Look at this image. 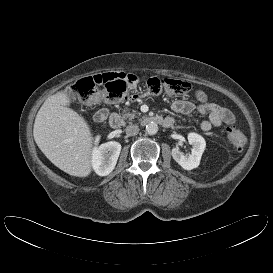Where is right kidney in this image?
Returning <instances> with one entry per match:
<instances>
[{
	"label": "right kidney",
	"instance_id": "1",
	"mask_svg": "<svg viewBox=\"0 0 273 273\" xmlns=\"http://www.w3.org/2000/svg\"><path fill=\"white\" fill-rule=\"evenodd\" d=\"M99 138L96 139L98 142ZM121 152V144L116 141H110L94 148L92 152V166L99 176L110 174L117 163Z\"/></svg>",
	"mask_w": 273,
	"mask_h": 273
}]
</instances>
